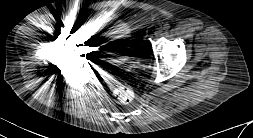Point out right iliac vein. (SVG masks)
I'll list each match as a JSON object with an SVG mask.
<instances>
[{
    "mask_svg": "<svg viewBox=\"0 0 253 138\" xmlns=\"http://www.w3.org/2000/svg\"><path fill=\"white\" fill-rule=\"evenodd\" d=\"M73 31L76 33V34H79L81 32V28L79 26H75L73 28Z\"/></svg>",
    "mask_w": 253,
    "mask_h": 138,
    "instance_id": "63e3f726",
    "label": "right iliac vein"
}]
</instances>
